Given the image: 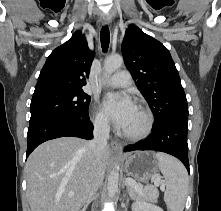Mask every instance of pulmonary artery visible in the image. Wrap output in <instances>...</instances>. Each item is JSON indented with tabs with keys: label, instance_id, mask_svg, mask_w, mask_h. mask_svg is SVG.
<instances>
[{
	"label": "pulmonary artery",
	"instance_id": "e3ab8cb5",
	"mask_svg": "<svg viewBox=\"0 0 221 211\" xmlns=\"http://www.w3.org/2000/svg\"><path fill=\"white\" fill-rule=\"evenodd\" d=\"M131 83V75L127 70L118 71L108 80V84L113 87H127Z\"/></svg>",
	"mask_w": 221,
	"mask_h": 211
}]
</instances>
